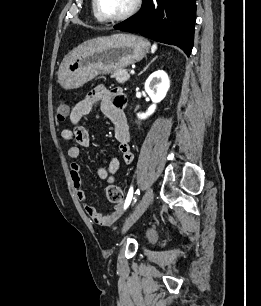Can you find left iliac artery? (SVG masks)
I'll use <instances>...</instances> for the list:
<instances>
[{"label":"left iliac artery","mask_w":261,"mask_h":306,"mask_svg":"<svg viewBox=\"0 0 261 306\" xmlns=\"http://www.w3.org/2000/svg\"><path fill=\"white\" fill-rule=\"evenodd\" d=\"M135 194L140 195V190H137L135 192ZM132 198H133V188L131 187L129 189V192H128L126 200H125V204H124L125 209L130 205Z\"/></svg>","instance_id":"obj_1"}]
</instances>
